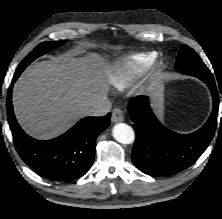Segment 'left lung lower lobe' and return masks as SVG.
<instances>
[{
  "mask_svg": "<svg viewBox=\"0 0 222 219\" xmlns=\"http://www.w3.org/2000/svg\"><path fill=\"white\" fill-rule=\"evenodd\" d=\"M198 78L211 90L213 111L206 124L194 133L182 135L164 127L153 114L146 96H138L128 103L136 131L132 161L143 173L176 174L195 163L209 145L217 125L219 94L213 76L207 78L202 74Z\"/></svg>",
  "mask_w": 222,
  "mask_h": 219,
  "instance_id": "left-lung-lower-lobe-1",
  "label": "left lung lower lobe"
}]
</instances>
